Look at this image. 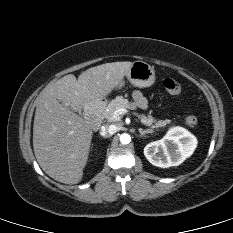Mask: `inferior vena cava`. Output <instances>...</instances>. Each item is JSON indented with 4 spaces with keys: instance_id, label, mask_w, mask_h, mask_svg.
<instances>
[{
    "instance_id": "602c4592",
    "label": "inferior vena cava",
    "mask_w": 233,
    "mask_h": 233,
    "mask_svg": "<svg viewBox=\"0 0 233 233\" xmlns=\"http://www.w3.org/2000/svg\"><path fill=\"white\" fill-rule=\"evenodd\" d=\"M116 132V127L114 125H105L102 126L100 129V135L101 136H108V135H113Z\"/></svg>"
}]
</instances>
